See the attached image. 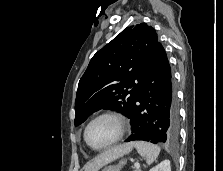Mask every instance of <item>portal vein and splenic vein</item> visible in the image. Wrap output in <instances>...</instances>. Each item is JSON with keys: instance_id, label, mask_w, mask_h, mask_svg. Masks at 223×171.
I'll list each match as a JSON object with an SVG mask.
<instances>
[{"instance_id": "obj_1", "label": "portal vein and splenic vein", "mask_w": 223, "mask_h": 171, "mask_svg": "<svg viewBox=\"0 0 223 171\" xmlns=\"http://www.w3.org/2000/svg\"><path fill=\"white\" fill-rule=\"evenodd\" d=\"M134 166L136 168V171H139V168H140V164L138 162H135L134 163Z\"/></svg>"}]
</instances>
